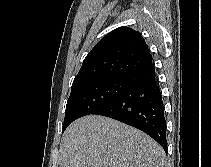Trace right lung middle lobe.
<instances>
[{
    "label": "right lung middle lobe",
    "mask_w": 211,
    "mask_h": 167,
    "mask_svg": "<svg viewBox=\"0 0 211 167\" xmlns=\"http://www.w3.org/2000/svg\"><path fill=\"white\" fill-rule=\"evenodd\" d=\"M130 85L128 77H102L72 87L62 132L74 120L107 105Z\"/></svg>",
    "instance_id": "obj_1"
}]
</instances>
